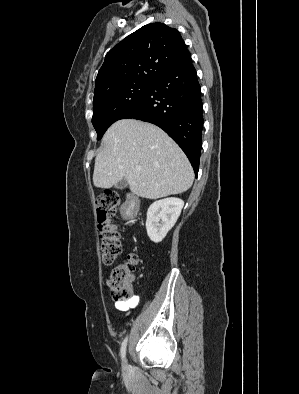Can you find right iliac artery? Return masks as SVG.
Wrapping results in <instances>:
<instances>
[{"mask_svg":"<svg viewBox=\"0 0 299 394\" xmlns=\"http://www.w3.org/2000/svg\"><path fill=\"white\" fill-rule=\"evenodd\" d=\"M128 337H126L121 345V358L124 359L126 355V346H127Z\"/></svg>","mask_w":299,"mask_h":394,"instance_id":"right-iliac-artery-1","label":"right iliac artery"}]
</instances>
